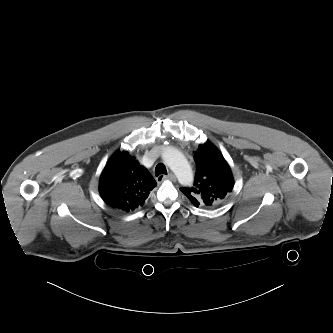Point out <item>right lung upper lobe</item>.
Wrapping results in <instances>:
<instances>
[{
	"mask_svg": "<svg viewBox=\"0 0 333 333\" xmlns=\"http://www.w3.org/2000/svg\"><path fill=\"white\" fill-rule=\"evenodd\" d=\"M157 185L147 169L128 152L117 151L107 162L99 182L104 202L129 212L142 206Z\"/></svg>",
	"mask_w": 333,
	"mask_h": 333,
	"instance_id": "1",
	"label": "right lung upper lobe"
}]
</instances>
